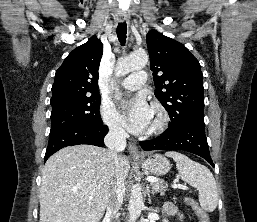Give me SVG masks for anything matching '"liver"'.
Listing matches in <instances>:
<instances>
[{"label":"liver","instance_id":"6515ba94","mask_svg":"<svg viewBox=\"0 0 257 222\" xmlns=\"http://www.w3.org/2000/svg\"><path fill=\"white\" fill-rule=\"evenodd\" d=\"M118 169L125 181L130 165L124 155L118 157ZM113 180L103 148L75 145L59 150L43 170L39 222H99L112 194Z\"/></svg>","mask_w":257,"mask_h":222}]
</instances>
